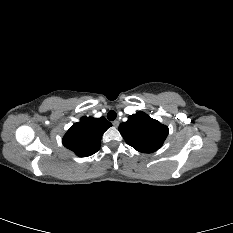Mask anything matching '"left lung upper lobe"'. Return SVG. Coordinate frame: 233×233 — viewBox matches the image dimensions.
Wrapping results in <instances>:
<instances>
[{
  "mask_svg": "<svg viewBox=\"0 0 233 233\" xmlns=\"http://www.w3.org/2000/svg\"><path fill=\"white\" fill-rule=\"evenodd\" d=\"M126 143L139 152L152 153L158 150L168 135V127L152 119L144 112L129 116L119 126Z\"/></svg>",
  "mask_w": 233,
  "mask_h": 233,
  "instance_id": "5c2ea615",
  "label": "left lung upper lobe"
}]
</instances>
